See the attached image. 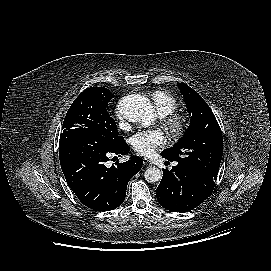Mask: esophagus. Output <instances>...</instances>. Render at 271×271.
<instances>
[{"label":"esophagus","mask_w":271,"mask_h":271,"mask_svg":"<svg viewBox=\"0 0 271 271\" xmlns=\"http://www.w3.org/2000/svg\"><path fill=\"white\" fill-rule=\"evenodd\" d=\"M143 164H144L145 166H151V165H152V162H151L149 159L143 158Z\"/></svg>","instance_id":"esophagus-1"}]
</instances>
